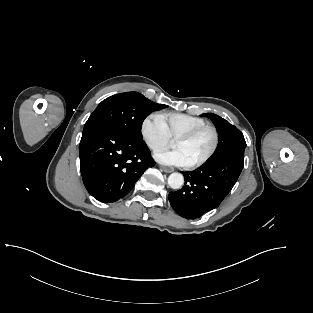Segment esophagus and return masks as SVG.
<instances>
[{
  "mask_svg": "<svg viewBox=\"0 0 313 313\" xmlns=\"http://www.w3.org/2000/svg\"><path fill=\"white\" fill-rule=\"evenodd\" d=\"M160 168H161L162 171H164L166 173L173 172V168H170V167L161 166Z\"/></svg>",
  "mask_w": 313,
  "mask_h": 313,
  "instance_id": "esophagus-1",
  "label": "esophagus"
}]
</instances>
